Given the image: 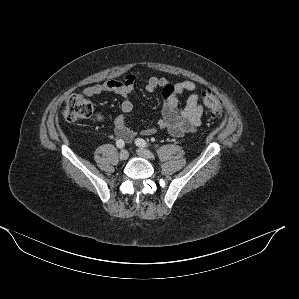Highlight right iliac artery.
<instances>
[{"mask_svg": "<svg viewBox=\"0 0 299 299\" xmlns=\"http://www.w3.org/2000/svg\"><path fill=\"white\" fill-rule=\"evenodd\" d=\"M124 145H125V143H124L123 140L119 139V140L116 141V146H117L118 148H123Z\"/></svg>", "mask_w": 299, "mask_h": 299, "instance_id": "82829eb1", "label": "right iliac artery"}]
</instances>
